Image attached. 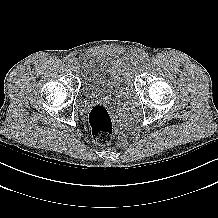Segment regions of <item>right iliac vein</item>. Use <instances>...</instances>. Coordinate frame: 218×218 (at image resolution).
I'll return each instance as SVG.
<instances>
[{
    "label": "right iliac vein",
    "mask_w": 218,
    "mask_h": 218,
    "mask_svg": "<svg viewBox=\"0 0 218 218\" xmlns=\"http://www.w3.org/2000/svg\"><path fill=\"white\" fill-rule=\"evenodd\" d=\"M70 67L73 71H77L79 68V63L78 60L75 58H72L71 62H70Z\"/></svg>",
    "instance_id": "obj_1"
}]
</instances>
